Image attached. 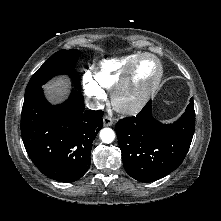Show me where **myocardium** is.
Instances as JSON below:
<instances>
[{
	"mask_svg": "<svg viewBox=\"0 0 221 221\" xmlns=\"http://www.w3.org/2000/svg\"><path fill=\"white\" fill-rule=\"evenodd\" d=\"M145 58L153 59L158 66V74L154 80V82L142 93L136 96L134 99L128 100L126 98L128 91L130 90L133 82L134 72L136 67ZM163 65L159 58L150 53H142L140 54L127 68L122 78L116 84L112 93V104L114 108L123 114H135L139 112L146 103L150 100L153 94L158 89L161 80L163 78Z\"/></svg>",
	"mask_w": 221,
	"mask_h": 221,
	"instance_id": "1",
	"label": "myocardium"
}]
</instances>
